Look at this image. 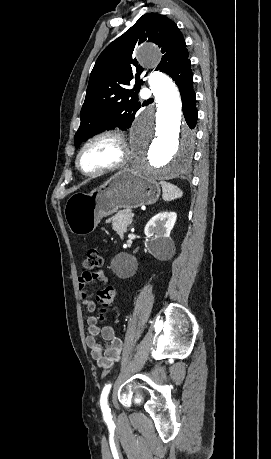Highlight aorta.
Returning <instances> with one entry per match:
<instances>
[{"label":"aorta","mask_w":271,"mask_h":459,"mask_svg":"<svg viewBox=\"0 0 271 459\" xmlns=\"http://www.w3.org/2000/svg\"><path fill=\"white\" fill-rule=\"evenodd\" d=\"M138 58L150 66L161 59L159 48L143 43ZM149 87L155 97L137 119L131 136V164L134 171L150 180L176 177L189 168L195 146L194 133L184 124L181 99L174 82L161 72H151Z\"/></svg>","instance_id":"1"}]
</instances>
